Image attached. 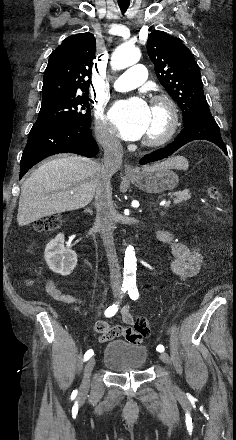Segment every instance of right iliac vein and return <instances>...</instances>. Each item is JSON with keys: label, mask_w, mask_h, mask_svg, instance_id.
Masks as SVG:
<instances>
[{"label": "right iliac vein", "mask_w": 236, "mask_h": 440, "mask_svg": "<svg viewBox=\"0 0 236 440\" xmlns=\"http://www.w3.org/2000/svg\"><path fill=\"white\" fill-rule=\"evenodd\" d=\"M95 366V359L90 358L85 365L81 389L86 391L89 388L90 375Z\"/></svg>", "instance_id": "1"}]
</instances>
